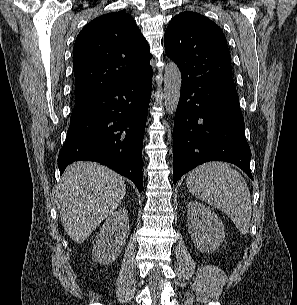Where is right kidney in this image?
I'll use <instances>...</instances> for the list:
<instances>
[{
  "mask_svg": "<svg viewBox=\"0 0 297 305\" xmlns=\"http://www.w3.org/2000/svg\"><path fill=\"white\" fill-rule=\"evenodd\" d=\"M129 233L126 208H119L104 222L93 243L92 259L101 264L112 263L125 246Z\"/></svg>",
  "mask_w": 297,
  "mask_h": 305,
  "instance_id": "1",
  "label": "right kidney"
}]
</instances>
